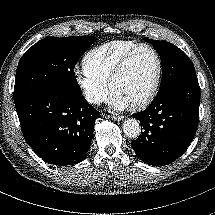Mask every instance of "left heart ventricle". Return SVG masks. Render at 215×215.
I'll return each instance as SVG.
<instances>
[{"label": "left heart ventricle", "mask_w": 215, "mask_h": 215, "mask_svg": "<svg viewBox=\"0 0 215 215\" xmlns=\"http://www.w3.org/2000/svg\"><path fill=\"white\" fill-rule=\"evenodd\" d=\"M156 67V59L149 49L137 50L113 84L112 92L124 97L130 105L139 102L145 97L154 80Z\"/></svg>", "instance_id": "1"}]
</instances>
